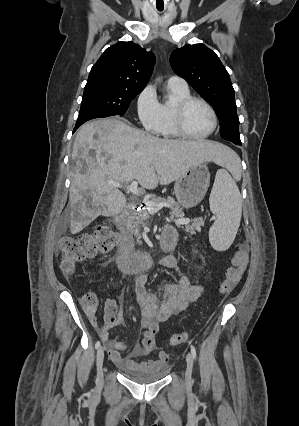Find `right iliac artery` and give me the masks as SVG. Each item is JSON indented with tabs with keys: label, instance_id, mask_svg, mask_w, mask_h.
I'll list each match as a JSON object with an SVG mask.
<instances>
[{
	"label": "right iliac artery",
	"instance_id": "obj_1",
	"mask_svg": "<svg viewBox=\"0 0 299 426\" xmlns=\"http://www.w3.org/2000/svg\"><path fill=\"white\" fill-rule=\"evenodd\" d=\"M100 345H101L100 341H97L96 344H95V348L98 349L100 347Z\"/></svg>",
	"mask_w": 299,
	"mask_h": 426
}]
</instances>
